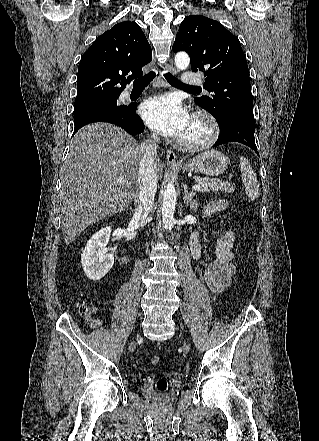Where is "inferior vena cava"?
Here are the masks:
<instances>
[{"mask_svg":"<svg viewBox=\"0 0 319 441\" xmlns=\"http://www.w3.org/2000/svg\"><path fill=\"white\" fill-rule=\"evenodd\" d=\"M160 138L152 134L140 145L141 159L139 163V190L135 198L133 220L140 224L149 214L157 190L156 157Z\"/></svg>","mask_w":319,"mask_h":441,"instance_id":"obj_1","label":"inferior vena cava"}]
</instances>
